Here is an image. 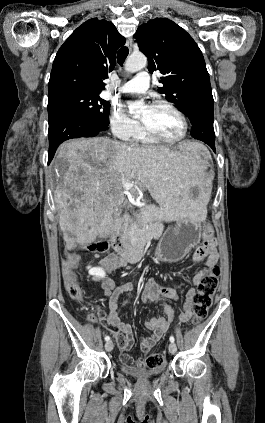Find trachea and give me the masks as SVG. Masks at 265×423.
I'll list each match as a JSON object with an SVG mask.
<instances>
[{
    "instance_id": "obj_1",
    "label": "trachea",
    "mask_w": 265,
    "mask_h": 423,
    "mask_svg": "<svg viewBox=\"0 0 265 423\" xmlns=\"http://www.w3.org/2000/svg\"><path fill=\"white\" fill-rule=\"evenodd\" d=\"M128 54H129V50H128V48L127 47H122V48H120L119 50H118V52H117V61H118V63L122 66L123 65V63H124V61H125V59H126V57L128 56Z\"/></svg>"
}]
</instances>
